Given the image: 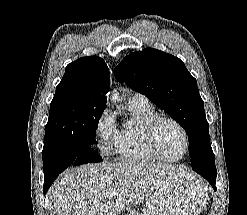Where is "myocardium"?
Instances as JSON below:
<instances>
[{"instance_id": "myocardium-1", "label": "myocardium", "mask_w": 247, "mask_h": 215, "mask_svg": "<svg viewBox=\"0 0 247 215\" xmlns=\"http://www.w3.org/2000/svg\"><path fill=\"white\" fill-rule=\"evenodd\" d=\"M167 122L176 125L183 134V137L185 140V149L179 157H168L164 155L159 148L158 132L162 124L167 123ZM145 136H146V141H147L150 151L159 160H163V161L174 162V161H179L183 159L187 155L189 147H190V139H189L188 131L186 130V128L180 121H178L177 119L173 117H168V116L156 117L154 120H152L150 123L146 125Z\"/></svg>"}]
</instances>
